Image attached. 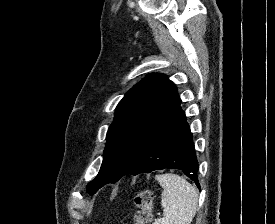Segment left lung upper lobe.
I'll list each match as a JSON object with an SVG mask.
<instances>
[{
	"mask_svg": "<svg viewBox=\"0 0 275 224\" xmlns=\"http://www.w3.org/2000/svg\"><path fill=\"white\" fill-rule=\"evenodd\" d=\"M180 102L175 85L163 74H149L130 89L115 109L102 166L87 192L95 193L104 179L123 177L148 137Z\"/></svg>",
	"mask_w": 275,
	"mask_h": 224,
	"instance_id": "5c2ea615",
	"label": "left lung upper lobe"
}]
</instances>
